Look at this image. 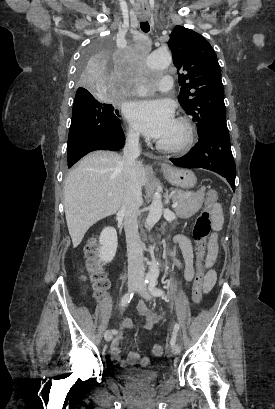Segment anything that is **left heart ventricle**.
Instances as JSON below:
<instances>
[{
	"label": "left heart ventricle",
	"mask_w": 275,
	"mask_h": 409,
	"mask_svg": "<svg viewBox=\"0 0 275 409\" xmlns=\"http://www.w3.org/2000/svg\"><path fill=\"white\" fill-rule=\"evenodd\" d=\"M181 134V129L175 123H173L161 137L156 139V141L173 143L180 138Z\"/></svg>",
	"instance_id": "left-heart-ventricle-1"
}]
</instances>
